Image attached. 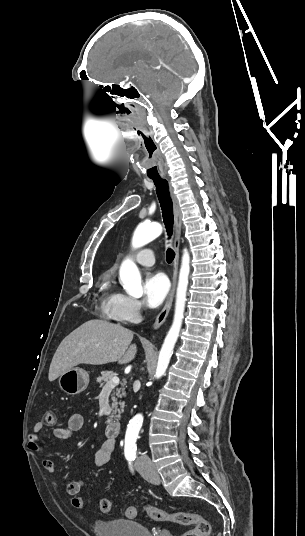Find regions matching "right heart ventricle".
Masks as SVG:
<instances>
[{
	"instance_id": "obj_1",
	"label": "right heart ventricle",
	"mask_w": 305,
	"mask_h": 536,
	"mask_svg": "<svg viewBox=\"0 0 305 536\" xmlns=\"http://www.w3.org/2000/svg\"><path fill=\"white\" fill-rule=\"evenodd\" d=\"M118 292L114 286V282L109 274H105L102 279L99 300L102 307L109 313L110 317L117 320L115 315L110 313V310L114 308L117 300Z\"/></svg>"
}]
</instances>
